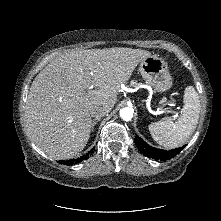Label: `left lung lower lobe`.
<instances>
[{
	"instance_id": "1",
	"label": "left lung lower lobe",
	"mask_w": 221,
	"mask_h": 221,
	"mask_svg": "<svg viewBox=\"0 0 221 221\" xmlns=\"http://www.w3.org/2000/svg\"><path fill=\"white\" fill-rule=\"evenodd\" d=\"M135 143L138 146L139 150L147 157L153 158L160 161H165L170 158H173L177 154L180 153V151L183 149V147L172 149L169 151L157 149L154 147L149 146L143 139L136 136Z\"/></svg>"
}]
</instances>
